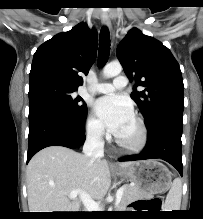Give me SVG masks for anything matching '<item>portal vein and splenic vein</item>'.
<instances>
[{
	"label": "portal vein and splenic vein",
	"instance_id": "obj_1",
	"mask_svg": "<svg viewBox=\"0 0 203 219\" xmlns=\"http://www.w3.org/2000/svg\"><path fill=\"white\" fill-rule=\"evenodd\" d=\"M80 196L81 201L84 206L91 211H100V206L97 202H95L87 193L81 190H73L69 193L70 199H75L77 196ZM123 196V188H119L116 192V200L115 205H118L121 202Z\"/></svg>",
	"mask_w": 203,
	"mask_h": 219
}]
</instances>
